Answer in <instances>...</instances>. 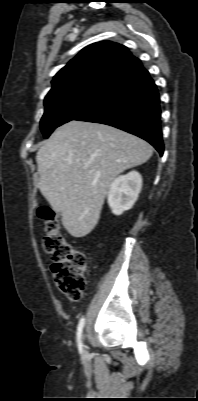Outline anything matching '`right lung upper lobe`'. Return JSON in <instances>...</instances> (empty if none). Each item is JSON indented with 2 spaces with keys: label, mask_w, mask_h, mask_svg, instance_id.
Wrapping results in <instances>:
<instances>
[{
  "label": "right lung upper lobe",
  "mask_w": 198,
  "mask_h": 401,
  "mask_svg": "<svg viewBox=\"0 0 198 401\" xmlns=\"http://www.w3.org/2000/svg\"><path fill=\"white\" fill-rule=\"evenodd\" d=\"M141 66L123 45L107 41L91 44L55 75L46 98L88 86L109 88Z\"/></svg>",
  "instance_id": "right-lung-upper-lobe-1"
}]
</instances>
